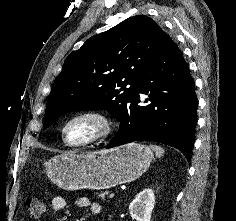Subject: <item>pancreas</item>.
Returning a JSON list of instances; mask_svg holds the SVG:
<instances>
[{
    "mask_svg": "<svg viewBox=\"0 0 236 221\" xmlns=\"http://www.w3.org/2000/svg\"><path fill=\"white\" fill-rule=\"evenodd\" d=\"M105 196H106V192H101V193L98 195V198L101 199V200H104V199H105Z\"/></svg>",
    "mask_w": 236,
    "mask_h": 221,
    "instance_id": "cf45deb5",
    "label": "pancreas"
}]
</instances>
